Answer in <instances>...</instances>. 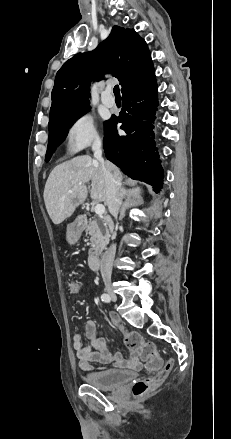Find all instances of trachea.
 <instances>
[{
  "label": "trachea",
  "mask_w": 231,
  "mask_h": 439,
  "mask_svg": "<svg viewBox=\"0 0 231 439\" xmlns=\"http://www.w3.org/2000/svg\"><path fill=\"white\" fill-rule=\"evenodd\" d=\"M113 91H114L115 97H120V89H119L118 85H115Z\"/></svg>",
  "instance_id": "obj_1"
}]
</instances>
